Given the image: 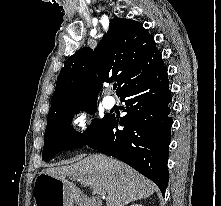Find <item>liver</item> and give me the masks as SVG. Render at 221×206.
Here are the masks:
<instances>
[{
  "mask_svg": "<svg viewBox=\"0 0 221 206\" xmlns=\"http://www.w3.org/2000/svg\"><path fill=\"white\" fill-rule=\"evenodd\" d=\"M40 174L61 179L75 188L66 177L79 181L84 187L101 189L107 193V206H125L155 191V185L130 166L102 154L89 155L68 166L43 169Z\"/></svg>",
  "mask_w": 221,
  "mask_h": 206,
  "instance_id": "6515ba94",
  "label": "liver"
}]
</instances>
